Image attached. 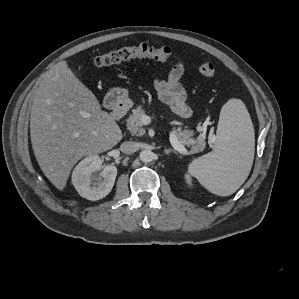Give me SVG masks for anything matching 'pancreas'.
I'll return each mask as SVG.
<instances>
[{"label":"pancreas","instance_id":"obj_1","mask_svg":"<svg viewBox=\"0 0 299 299\" xmlns=\"http://www.w3.org/2000/svg\"><path fill=\"white\" fill-rule=\"evenodd\" d=\"M145 115V111L141 106H138L132 111V114L127 118V128L133 135L141 136L145 134V129L142 127V116ZM177 140L183 146H187L191 149V153H197L205 148L204 136L200 135L197 139L192 138L194 132L190 129H182L178 127L174 130Z\"/></svg>","mask_w":299,"mask_h":299}]
</instances>
